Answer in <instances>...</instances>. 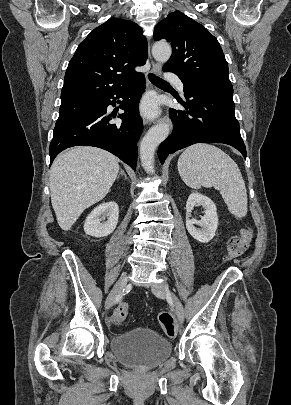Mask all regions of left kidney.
<instances>
[{"mask_svg":"<svg viewBox=\"0 0 291 405\" xmlns=\"http://www.w3.org/2000/svg\"><path fill=\"white\" fill-rule=\"evenodd\" d=\"M196 204L205 209V214L199 221L189 218ZM194 225L200 226L201 229H197ZM217 226L218 216L214 202L197 192L191 193L186 203V228L189 234L199 242L208 243L215 236Z\"/></svg>","mask_w":291,"mask_h":405,"instance_id":"5707ae66","label":"left kidney"}]
</instances>
